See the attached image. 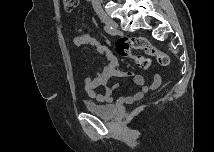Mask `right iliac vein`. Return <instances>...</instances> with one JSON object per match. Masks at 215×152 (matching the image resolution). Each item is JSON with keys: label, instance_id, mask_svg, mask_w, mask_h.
Segmentation results:
<instances>
[{"label": "right iliac vein", "instance_id": "1", "mask_svg": "<svg viewBox=\"0 0 215 152\" xmlns=\"http://www.w3.org/2000/svg\"><path fill=\"white\" fill-rule=\"evenodd\" d=\"M101 21L106 24L107 26L111 27L113 30H116L118 28V25L117 23L111 19L110 17H108L107 15L105 14H100L99 15Z\"/></svg>", "mask_w": 215, "mask_h": 152}]
</instances>
